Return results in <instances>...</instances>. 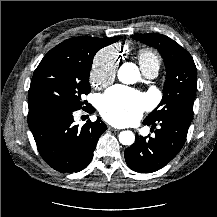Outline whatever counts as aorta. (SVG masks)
Listing matches in <instances>:
<instances>
[{"label": "aorta", "instance_id": "aorta-1", "mask_svg": "<svg viewBox=\"0 0 217 217\" xmlns=\"http://www.w3.org/2000/svg\"><path fill=\"white\" fill-rule=\"evenodd\" d=\"M140 78L138 67L134 63L126 62L118 70V79L124 84H134ZM119 141L123 145H132L135 142L133 132L127 130L119 134Z\"/></svg>", "mask_w": 217, "mask_h": 217}]
</instances>
